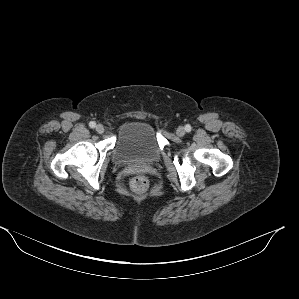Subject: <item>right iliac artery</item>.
<instances>
[{"instance_id": "1", "label": "right iliac artery", "mask_w": 299, "mask_h": 299, "mask_svg": "<svg viewBox=\"0 0 299 299\" xmlns=\"http://www.w3.org/2000/svg\"><path fill=\"white\" fill-rule=\"evenodd\" d=\"M90 128H94L96 126V123L94 121H91L89 123Z\"/></svg>"}]
</instances>
